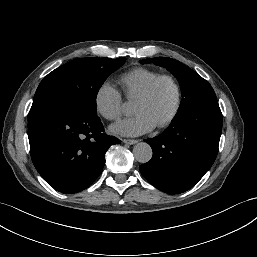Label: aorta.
Listing matches in <instances>:
<instances>
[{
  "label": "aorta",
  "instance_id": "762f6f07",
  "mask_svg": "<svg viewBox=\"0 0 257 257\" xmlns=\"http://www.w3.org/2000/svg\"><path fill=\"white\" fill-rule=\"evenodd\" d=\"M133 154L138 162L147 163L151 160L153 152L148 143L140 142L134 146Z\"/></svg>",
  "mask_w": 257,
  "mask_h": 257
}]
</instances>
